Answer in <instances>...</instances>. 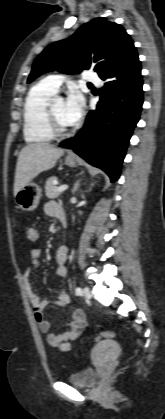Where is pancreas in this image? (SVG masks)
<instances>
[{
  "instance_id": "pancreas-1",
  "label": "pancreas",
  "mask_w": 165,
  "mask_h": 419,
  "mask_svg": "<svg viewBox=\"0 0 165 419\" xmlns=\"http://www.w3.org/2000/svg\"><path fill=\"white\" fill-rule=\"evenodd\" d=\"M57 180V177L52 176L48 178L45 185V194L48 198H56L59 196L60 192L58 191V186L54 184V181Z\"/></svg>"
}]
</instances>
